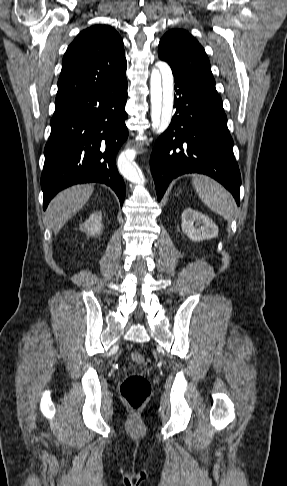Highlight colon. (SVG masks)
Masks as SVG:
<instances>
[{
    "instance_id": "5ec220e1",
    "label": "colon",
    "mask_w": 287,
    "mask_h": 486,
    "mask_svg": "<svg viewBox=\"0 0 287 486\" xmlns=\"http://www.w3.org/2000/svg\"><path fill=\"white\" fill-rule=\"evenodd\" d=\"M130 359L138 369L127 375L121 383L120 393L124 402L133 410L140 409L149 399L151 383L145 375L146 360L139 352H132Z\"/></svg>"
}]
</instances>
